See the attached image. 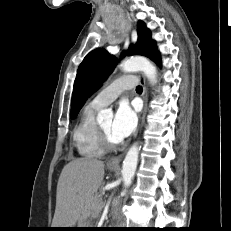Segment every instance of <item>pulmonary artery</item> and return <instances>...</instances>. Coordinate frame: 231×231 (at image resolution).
Returning a JSON list of instances; mask_svg holds the SVG:
<instances>
[{
	"label": "pulmonary artery",
	"mask_w": 231,
	"mask_h": 231,
	"mask_svg": "<svg viewBox=\"0 0 231 231\" xmlns=\"http://www.w3.org/2000/svg\"><path fill=\"white\" fill-rule=\"evenodd\" d=\"M137 84L134 75H126L116 79L104 89H102L90 102L96 108H102L113 102L125 89H131Z\"/></svg>",
	"instance_id": "e3ab8cb5"
}]
</instances>
